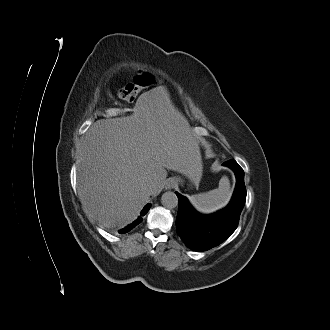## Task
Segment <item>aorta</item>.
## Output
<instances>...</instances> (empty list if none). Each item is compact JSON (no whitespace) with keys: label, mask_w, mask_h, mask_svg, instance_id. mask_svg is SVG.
Returning a JSON list of instances; mask_svg holds the SVG:
<instances>
[{"label":"aorta","mask_w":330,"mask_h":330,"mask_svg":"<svg viewBox=\"0 0 330 330\" xmlns=\"http://www.w3.org/2000/svg\"><path fill=\"white\" fill-rule=\"evenodd\" d=\"M161 203L168 209H173L178 205V198L174 192L167 191L161 197Z\"/></svg>","instance_id":"obj_1"}]
</instances>
